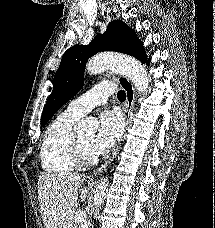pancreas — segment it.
Returning a JSON list of instances; mask_svg holds the SVG:
<instances>
[{"instance_id":"pancreas-1","label":"pancreas","mask_w":215,"mask_h":228,"mask_svg":"<svg viewBox=\"0 0 215 228\" xmlns=\"http://www.w3.org/2000/svg\"><path fill=\"white\" fill-rule=\"evenodd\" d=\"M73 228H79V226H77V224H74L73 222Z\"/></svg>"}]
</instances>
